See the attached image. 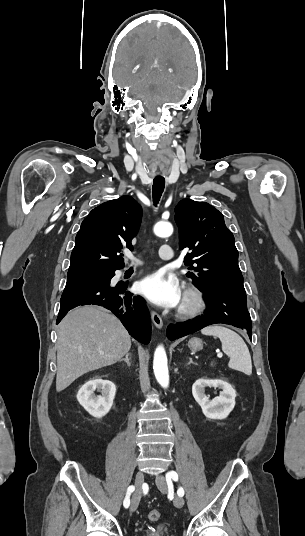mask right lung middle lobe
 I'll list each match as a JSON object with an SVG mask.
<instances>
[{
  "label": "right lung middle lobe",
  "instance_id": "right-lung-middle-lobe-1",
  "mask_svg": "<svg viewBox=\"0 0 305 536\" xmlns=\"http://www.w3.org/2000/svg\"><path fill=\"white\" fill-rule=\"evenodd\" d=\"M114 272L115 271H107V272H100V273H95V274H90V275L67 278V283L86 281V282L109 284L111 278L115 274Z\"/></svg>",
  "mask_w": 305,
  "mask_h": 536
}]
</instances>
